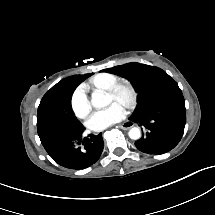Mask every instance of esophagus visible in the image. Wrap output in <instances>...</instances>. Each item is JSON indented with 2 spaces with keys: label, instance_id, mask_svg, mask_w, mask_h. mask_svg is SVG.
I'll return each mask as SVG.
<instances>
[{
  "label": "esophagus",
  "instance_id": "1",
  "mask_svg": "<svg viewBox=\"0 0 215 215\" xmlns=\"http://www.w3.org/2000/svg\"><path fill=\"white\" fill-rule=\"evenodd\" d=\"M134 126V122L132 121H125L119 127L123 130H128Z\"/></svg>",
  "mask_w": 215,
  "mask_h": 215
}]
</instances>
